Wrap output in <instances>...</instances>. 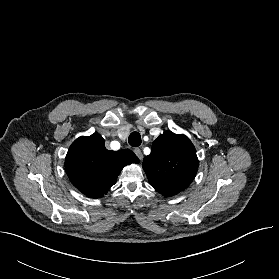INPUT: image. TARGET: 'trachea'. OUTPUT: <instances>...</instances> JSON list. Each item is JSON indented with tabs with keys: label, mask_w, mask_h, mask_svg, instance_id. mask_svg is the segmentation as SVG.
<instances>
[{
	"label": "trachea",
	"mask_w": 279,
	"mask_h": 279,
	"mask_svg": "<svg viewBox=\"0 0 279 279\" xmlns=\"http://www.w3.org/2000/svg\"><path fill=\"white\" fill-rule=\"evenodd\" d=\"M128 142L133 147H138L141 144V136L138 132H132L128 138Z\"/></svg>",
	"instance_id": "trachea-1"
}]
</instances>
